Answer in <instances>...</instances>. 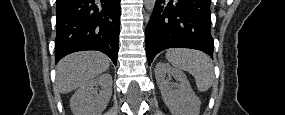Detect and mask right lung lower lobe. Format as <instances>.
Here are the masks:
<instances>
[{
  "mask_svg": "<svg viewBox=\"0 0 285 115\" xmlns=\"http://www.w3.org/2000/svg\"><path fill=\"white\" fill-rule=\"evenodd\" d=\"M55 60L72 52L97 50L116 65L120 0H56Z\"/></svg>",
  "mask_w": 285,
  "mask_h": 115,
  "instance_id": "98d812e1",
  "label": "right lung lower lobe"
}]
</instances>
